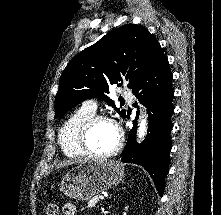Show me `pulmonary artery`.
<instances>
[{
	"label": "pulmonary artery",
	"instance_id": "e3ab8cb5",
	"mask_svg": "<svg viewBox=\"0 0 221 215\" xmlns=\"http://www.w3.org/2000/svg\"><path fill=\"white\" fill-rule=\"evenodd\" d=\"M123 97L129 100L132 98L131 94L127 91L123 92ZM82 107L90 112L95 113L97 109V104L93 100H87L83 103Z\"/></svg>",
	"mask_w": 221,
	"mask_h": 215
}]
</instances>
